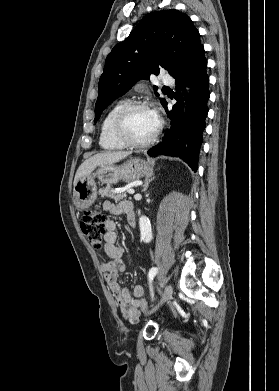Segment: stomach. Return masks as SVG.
Returning <instances> with one entry per match:
<instances>
[{
	"instance_id": "0dacf381",
	"label": "stomach",
	"mask_w": 279,
	"mask_h": 391,
	"mask_svg": "<svg viewBox=\"0 0 279 391\" xmlns=\"http://www.w3.org/2000/svg\"><path fill=\"white\" fill-rule=\"evenodd\" d=\"M152 168L140 158L127 160L121 165H102L95 172L78 180L74 186V204L82 210L89 208L97 198V186L95 178L100 182L115 184L120 180L134 181L144 176H150Z\"/></svg>"
}]
</instances>
